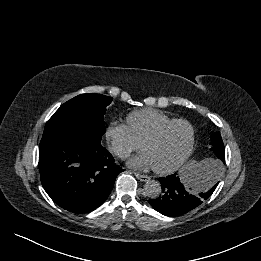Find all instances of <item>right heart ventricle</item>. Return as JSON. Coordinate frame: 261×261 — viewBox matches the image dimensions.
<instances>
[{
    "mask_svg": "<svg viewBox=\"0 0 261 261\" xmlns=\"http://www.w3.org/2000/svg\"><path fill=\"white\" fill-rule=\"evenodd\" d=\"M172 119L163 111L145 108L130 112L126 116V124L135 139L141 143L160 125Z\"/></svg>",
    "mask_w": 261,
    "mask_h": 261,
    "instance_id": "obj_1",
    "label": "right heart ventricle"
}]
</instances>
